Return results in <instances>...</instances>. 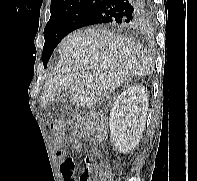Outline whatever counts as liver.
Wrapping results in <instances>:
<instances>
[{
  "label": "liver",
  "mask_w": 197,
  "mask_h": 181,
  "mask_svg": "<svg viewBox=\"0 0 197 181\" xmlns=\"http://www.w3.org/2000/svg\"><path fill=\"white\" fill-rule=\"evenodd\" d=\"M60 60L49 75L41 106L65 91L70 103L91 108L131 76L151 74L154 65L142 45L99 28L67 35L59 44Z\"/></svg>",
  "instance_id": "6515ba94"
}]
</instances>
